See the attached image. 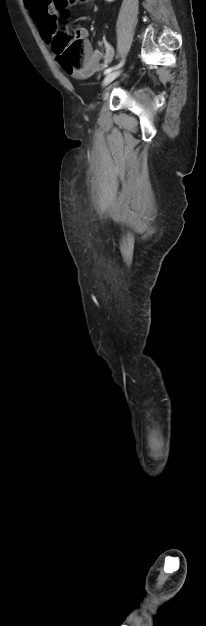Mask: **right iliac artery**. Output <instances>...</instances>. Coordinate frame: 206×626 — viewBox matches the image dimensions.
<instances>
[{"mask_svg": "<svg viewBox=\"0 0 206 626\" xmlns=\"http://www.w3.org/2000/svg\"><path fill=\"white\" fill-rule=\"evenodd\" d=\"M123 64H124V60H122V61H121L118 65H116V66H114V67H111V68L106 69V70H105V72H104V74H108V73L112 72L113 70H116V69H118V68L122 67V66H123Z\"/></svg>", "mask_w": 206, "mask_h": 626, "instance_id": "1", "label": "right iliac artery"}]
</instances>
